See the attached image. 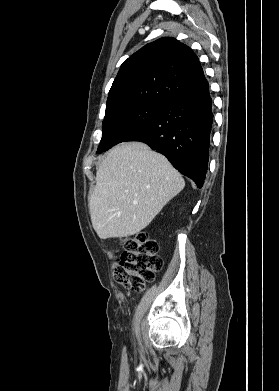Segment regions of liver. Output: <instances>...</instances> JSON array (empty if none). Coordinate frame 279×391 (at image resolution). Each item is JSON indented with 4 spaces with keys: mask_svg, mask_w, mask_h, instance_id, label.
<instances>
[{
    "mask_svg": "<svg viewBox=\"0 0 279 391\" xmlns=\"http://www.w3.org/2000/svg\"><path fill=\"white\" fill-rule=\"evenodd\" d=\"M184 186L165 156L141 142L122 143L97 170L89 202L93 228L101 239L137 234Z\"/></svg>",
    "mask_w": 279,
    "mask_h": 391,
    "instance_id": "6515ba94",
    "label": "liver"
}]
</instances>
